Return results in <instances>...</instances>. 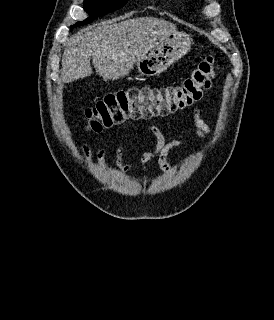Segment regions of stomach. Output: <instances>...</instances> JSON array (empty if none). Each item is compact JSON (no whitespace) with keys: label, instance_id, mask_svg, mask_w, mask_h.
I'll list each match as a JSON object with an SVG mask.
<instances>
[{"label":"stomach","instance_id":"stomach-1","mask_svg":"<svg viewBox=\"0 0 274 320\" xmlns=\"http://www.w3.org/2000/svg\"><path fill=\"white\" fill-rule=\"evenodd\" d=\"M191 44L190 36L184 32H172L169 36H165L164 40H158L157 44L146 52L145 58L136 62L141 76L145 78L159 76L171 64L186 56Z\"/></svg>","mask_w":274,"mask_h":320}]
</instances>
